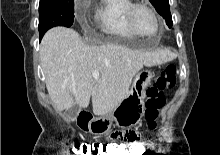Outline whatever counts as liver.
<instances>
[{
  "instance_id": "liver-1",
  "label": "liver",
  "mask_w": 220,
  "mask_h": 155,
  "mask_svg": "<svg viewBox=\"0 0 220 155\" xmlns=\"http://www.w3.org/2000/svg\"><path fill=\"white\" fill-rule=\"evenodd\" d=\"M40 60L48 94L58 111L76 104L93 113L111 112L129 92L134 76L143 66L169 62L168 50H133L117 44L89 46L73 29L54 27L44 35ZM99 71V80L93 72Z\"/></svg>"
}]
</instances>
